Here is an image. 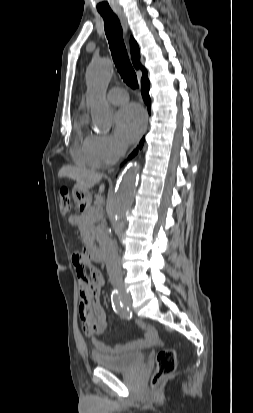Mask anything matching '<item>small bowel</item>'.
<instances>
[{
  "mask_svg": "<svg viewBox=\"0 0 253 413\" xmlns=\"http://www.w3.org/2000/svg\"><path fill=\"white\" fill-rule=\"evenodd\" d=\"M79 220L78 215L70 217L71 223ZM72 263L76 269L79 286V316L85 334L91 338L93 349L96 353L113 355L130 349L148 347L157 341L155 329L139 323L142 335L125 345L110 346L102 342L98 335L106 327V314L100 302L101 289L105 284L104 275L88 257L76 252L72 255ZM88 271V275L86 274Z\"/></svg>",
  "mask_w": 253,
  "mask_h": 413,
  "instance_id": "small-bowel-1",
  "label": "small bowel"
}]
</instances>
